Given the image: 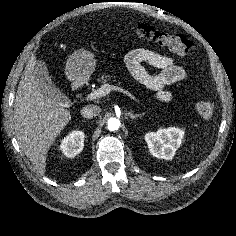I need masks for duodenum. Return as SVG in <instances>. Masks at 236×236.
Returning <instances> with one entry per match:
<instances>
[{
    "mask_svg": "<svg viewBox=\"0 0 236 236\" xmlns=\"http://www.w3.org/2000/svg\"><path fill=\"white\" fill-rule=\"evenodd\" d=\"M81 86H82V85H81L80 82L75 81V82L72 84V89H73L74 92H77V91L80 90Z\"/></svg>",
    "mask_w": 236,
    "mask_h": 236,
    "instance_id": "obj_1",
    "label": "duodenum"
}]
</instances>
